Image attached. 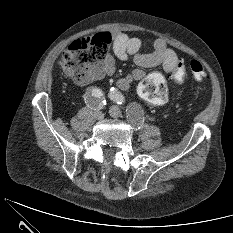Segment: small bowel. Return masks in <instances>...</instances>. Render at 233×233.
I'll list each match as a JSON object with an SVG mask.
<instances>
[{"label":"small bowel","mask_w":233,"mask_h":233,"mask_svg":"<svg viewBox=\"0 0 233 233\" xmlns=\"http://www.w3.org/2000/svg\"><path fill=\"white\" fill-rule=\"evenodd\" d=\"M112 39L113 54L107 56L102 73L112 74L115 70L116 59L126 60L133 57L134 62L140 67L117 81V85L122 90L130 89L145 77L142 68L161 66L166 73L170 74L179 62L175 51L161 39L154 41L152 48L149 50H142L140 38L125 32L114 31Z\"/></svg>","instance_id":"1"}]
</instances>
